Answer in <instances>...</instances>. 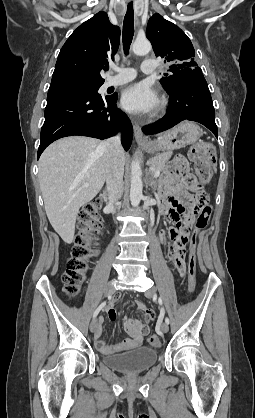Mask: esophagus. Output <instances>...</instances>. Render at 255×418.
<instances>
[{
    "label": "esophagus",
    "instance_id": "34e87169",
    "mask_svg": "<svg viewBox=\"0 0 255 418\" xmlns=\"http://www.w3.org/2000/svg\"><path fill=\"white\" fill-rule=\"evenodd\" d=\"M133 129H134V136H135L137 143L142 144L148 141L147 138L143 135L142 129L139 124L134 123Z\"/></svg>",
    "mask_w": 255,
    "mask_h": 418
}]
</instances>
